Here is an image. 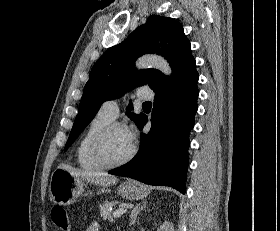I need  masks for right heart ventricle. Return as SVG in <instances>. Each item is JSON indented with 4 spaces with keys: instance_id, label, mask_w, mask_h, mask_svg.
<instances>
[{
    "instance_id": "obj_1",
    "label": "right heart ventricle",
    "mask_w": 280,
    "mask_h": 231,
    "mask_svg": "<svg viewBox=\"0 0 280 231\" xmlns=\"http://www.w3.org/2000/svg\"><path fill=\"white\" fill-rule=\"evenodd\" d=\"M113 119L98 113L95 117H93L88 123L85 131L82 136L79 138L76 143L74 155L75 161L79 168L84 171H95L100 170L103 167L94 161H92L90 157V145L95 138V136L99 133V131L106 126L108 123L112 122Z\"/></svg>"
}]
</instances>
